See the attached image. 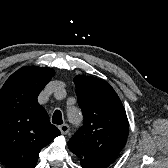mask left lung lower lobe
<instances>
[{
	"label": "left lung lower lobe",
	"mask_w": 168,
	"mask_h": 168,
	"mask_svg": "<svg viewBox=\"0 0 168 168\" xmlns=\"http://www.w3.org/2000/svg\"><path fill=\"white\" fill-rule=\"evenodd\" d=\"M80 164L83 168H104L103 166L86 159H80Z\"/></svg>",
	"instance_id": "0a47b994"
}]
</instances>
